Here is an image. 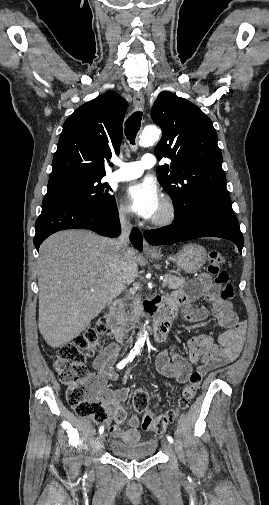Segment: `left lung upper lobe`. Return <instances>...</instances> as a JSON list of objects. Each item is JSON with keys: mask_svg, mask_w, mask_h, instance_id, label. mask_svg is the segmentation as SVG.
Returning a JSON list of instances; mask_svg holds the SVG:
<instances>
[{"mask_svg": "<svg viewBox=\"0 0 269 505\" xmlns=\"http://www.w3.org/2000/svg\"><path fill=\"white\" fill-rule=\"evenodd\" d=\"M151 116L162 129L156 157L171 159L157 168L158 181L173 200L175 220L185 222L210 204H231L222 154L212 121L199 107L162 91Z\"/></svg>", "mask_w": 269, "mask_h": 505, "instance_id": "1", "label": "left lung upper lobe"}]
</instances>
